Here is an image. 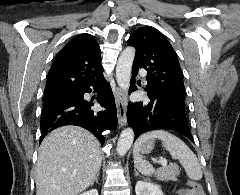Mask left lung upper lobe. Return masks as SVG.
Instances as JSON below:
<instances>
[{
    "label": "left lung upper lobe",
    "mask_w": 240,
    "mask_h": 195,
    "mask_svg": "<svg viewBox=\"0 0 240 195\" xmlns=\"http://www.w3.org/2000/svg\"><path fill=\"white\" fill-rule=\"evenodd\" d=\"M128 45L136 48L132 73L147 70V93L158 91L165 97L185 105V88L176 53L159 32L142 27L133 32Z\"/></svg>",
    "instance_id": "1"
}]
</instances>
